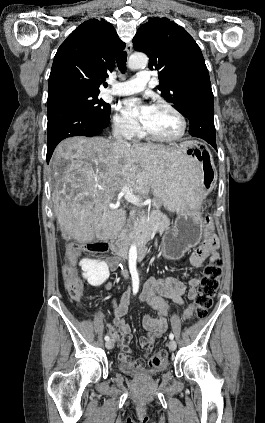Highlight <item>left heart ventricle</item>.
Segmentation results:
<instances>
[{"instance_id": "1", "label": "left heart ventricle", "mask_w": 265, "mask_h": 423, "mask_svg": "<svg viewBox=\"0 0 265 423\" xmlns=\"http://www.w3.org/2000/svg\"><path fill=\"white\" fill-rule=\"evenodd\" d=\"M143 124L151 132L167 137L177 135L181 129L176 115L163 107H151Z\"/></svg>"}]
</instances>
